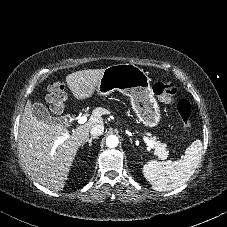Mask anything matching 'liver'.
I'll use <instances>...</instances> for the list:
<instances>
[{
	"label": "liver",
	"mask_w": 227,
	"mask_h": 227,
	"mask_svg": "<svg viewBox=\"0 0 227 227\" xmlns=\"http://www.w3.org/2000/svg\"><path fill=\"white\" fill-rule=\"evenodd\" d=\"M104 69L76 71L66 76V83L77 100L91 98ZM103 108H95L88 120L70 132L62 124L38 121L27 101L20 125L18 149L28 174L39 184L53 191L64 188L77 151L89 137L95 124H103Z\"/></svg>",
	"instance_id": "1"
}]
</instances>
